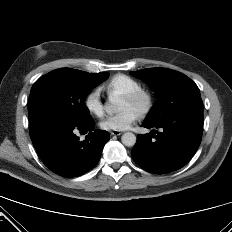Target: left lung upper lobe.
<instances>
[{
	"instance_id": "1",
	"label": "left lung upper lobe",
	"mask_w": 232,
	"mask_h": 232,
	"mask_svg": "<svg viewBox=\"0 0 232 232\" xmlns=\"http://www.w3.org/2000/svg\"><path fill=\"white\" fill-rule=\"evenodd\" d=\"M130 74L143 80L158 96L146 121L158 123L178 111L202 106L199 88L183 73L165 68H150Z\"/></svg>"
}]
</instances>
